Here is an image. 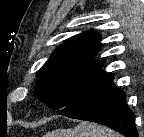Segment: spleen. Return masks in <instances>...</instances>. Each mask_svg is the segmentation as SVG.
Listing matches in <instances>:
<instances>
[{
	"mask_svg": "<svg viewBox=\"0 0 144 137\" xmlns=\"http://www.w3.org/2000/svg\"><path fill=\"white\" fill-rule=\"evenodd\" d=\"M61 132L63 137H122L112 129L87 121Z\"/></svg>",
	"mask_w": 144,
	"mask_h": 137,
	"instance_id": "3e777b00",
	"label": "spleen"
}]
</instances>
